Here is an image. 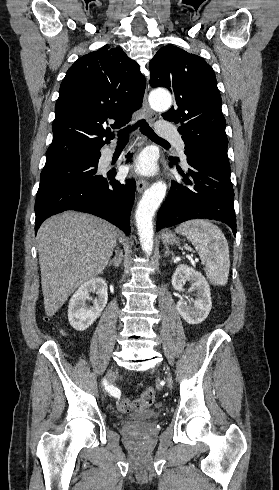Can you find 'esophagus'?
Segmentation results:
<instances>
[{
    "instance_id": "esophagus-1",
    "label": "esophagus",
    "mask_w": 279,
    "mask_h": 490,
    "mask_svg": "<svg viewBox=\"0 0 279 490\" xmlns=\"http://www.w3.org/2000/svg\"><path fill=\"white\" fill-rule=\"evenodd\" d=\"M143 108L146 112L147 119L149 120L150 123H153L156 120L157 115L155 112H153V110H151V108L148 105V89L147 88L145 90V94H144V98H143ZM148 185H149L148 181L146 179L140 177L137 180V192L142 193L148 187Z\"/></svg>"
}]
</instances>
